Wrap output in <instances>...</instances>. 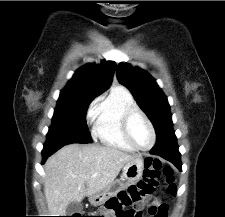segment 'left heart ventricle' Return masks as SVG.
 <instances>
[{"label": "left heart ventricle", "instance_id": "obj_1", "mask_svg": "<svg viewBox=\"0 0 225 217\" xmlns=\"http://www.w3.org/2000/svg\"><path fill=\"white\" fill-rule=\"evenodd\" d=\"M131 134L135 143L142 147H148L152 142L151 131L145 122V120L140 116H135L131 122Z\"/></svg>", "mask_w": 225, "mask_h": 217}]
</instances>
